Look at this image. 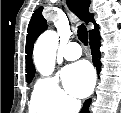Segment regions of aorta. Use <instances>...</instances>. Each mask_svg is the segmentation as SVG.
Segmentation results:
<instances>
[{"instance_id": "aorta-1", "label": "aorta", "mask_w": 121, "mask_h": 113, "mask_svg": "<svg viewBox=\"0 0 121 113\" xmlns=\"http://www.w3.org/2000/svg\"><path fill=\"white\" fill-rule=\"evenodd\" d=\"M58 35L53 30H48L37 39L33 59L38 72L43 76L52 75L55 67Z\"/></svg>"}]
</instances>
